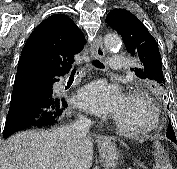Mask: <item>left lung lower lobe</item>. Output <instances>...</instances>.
Wrapping results in <instances>:
<instances>
[{
	"instance_id": "obj_1",
	"label": "left lung lower lobe",
	"mask_w": 177,
	"mask_h": 169,
	"mask_svg": "<svg viewBox=\"0 0 177 169\" xmlns=\"http://www.w3.org/2000/svg\"><path fill=\"white\" fill-rule=\"evenodd\" d=\"M166 136H167V138H169L171 141H173L174 143L177 144L175 135H174V136H173V135H166Z\"/></svg>"
}]
</instances>
